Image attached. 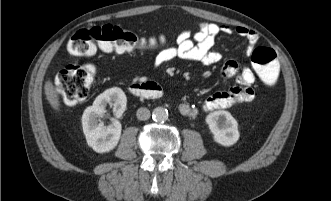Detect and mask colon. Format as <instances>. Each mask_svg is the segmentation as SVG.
<instances>
[{"instance_id": "5ec220e1", "label": "colon", "mask_w": 331, "mask_h": 201, "mask_svg": "<svg viewBox=\"0 0 331 201\" xmlns=\"http://www.w3.org/2000/svg\"><path fill=\"white\" fill-rule=\"evenodd\" d=\"M167 41L165 37L139 38L134 33L118 26L106 24L78 30L68 41V52L76 56L91 55L98 50L104 52H130L154 48ZM251 60L262 82L268 86L276 84L279 63L275 51L259 47L252 53ZM92 66L70 64L56 77V88L64 102L74 105L84 100L94 81Z\"/></svg>"}]
</instances>
